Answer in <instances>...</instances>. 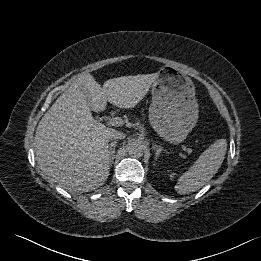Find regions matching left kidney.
Returning a JSON list of instances; mask_svg holds the SVG:
<instances>
[{
    "label": "left kidney",
    "instance_id": "5707ae66",
    "mask_svg": "<svg viewBox=\"0 0 261 261\" xmlns=\"http://www.w3.org/2000/svg\"><path fill=\"white\" fill-rule=\"evenodd\" d=\"M174 175H175L174 173H171V174H170V178L173 179V178H174Z\"/></svg>",
    "mask_w": 261,
    "mask_h": 261
}]
</instances>
